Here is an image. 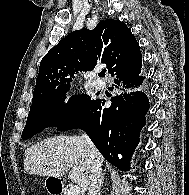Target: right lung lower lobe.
I'll return each mask as SVG.
<instances>
[{"instance_id":"obj_1","label":"right lung lower lobe","mask_w":189,"mask_h":195,"mask_svg":"<svg viewBox=\"0 0 189 195\" xmlns=\"http://www.w3.org/2000/svg\"><path fill=\"white\" fill-rule=\"evenodd\" d=\"M115 76L120 93L111 98L110 107L104 106L105 100H90L57 130H84L108 162L126 171L145 125L149 101L143 92L145 76L141 67Z\"/></svg>"}]
</instances>
